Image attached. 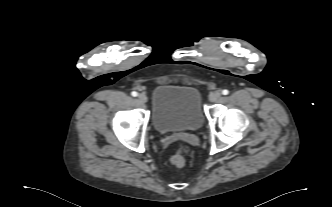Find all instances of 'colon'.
Listing matches in <instances>:
<instances>
[{
    "label": "colon",
    "mask_w": 332,
    "mask_h": 207,
    "mask_svg": "<svg viewBox=\"0 0 332 207\" xmlns=\"http://www.w3.org/2000/svg\"><path fill=\"white\" fill-rule=\"evenodd\" d=\"M192 148L186 143H178L175 147V154L171 158V162L176 167H181L185 163L186 156L191 154Z\"/></svg>",
    "instance_id": "1"
}]
</instances>
